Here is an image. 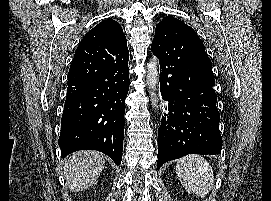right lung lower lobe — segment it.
Masks as SVG:
<instances>
[{"instance_id": "obj_1", "label": "right lung lower lobe", "mask_w": 271, "mask_h": 201, "mask_svg": "<svg viewBox=\"0 0 271 201\" xmlns=\"http://www.w3.org/2000/svg\"><path fill=\"white\" fill-rule=\"evenodd\" d=\"M129 54L109 41H81L69 69L61 118L62 157L97 150L122 160Z\"/></svg>"}]
</instances>
